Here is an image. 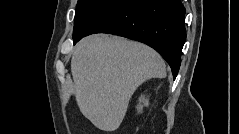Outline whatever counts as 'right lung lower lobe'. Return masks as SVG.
I'll list each match as a JSON object with an SVG mask.
<instances>
[{
    "label": "right lung lower lobe",
    "mask_w": 239,
    "mask_h": 134,
    "mask_svg": "<svg viewBox=\"0 0 239 134\" xmlns=\"http://www.w3.org/2000/svg\"><path fill=\"white\" fill-rule=\"evenodd\" d=\"M185 8L180 0H120L79 38L110 33L143 42L168 62L174 79L186 39Z\"/></svg>",
    "instance_id": "1"
}]
</instances>
